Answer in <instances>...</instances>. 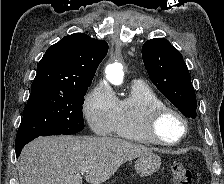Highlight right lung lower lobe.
Wrapping results in <instances>:
<instances>
[{
    "mask_svg": "<svg viewBox=\"0 0 224 184\" xmlns=\"http://www.w3.org/2000/svg\"><path fill=\"white\" fill-rule=\"evenodd\" d=\"M42 136H48V135H42ZM38 137H39V136H38ZM35 138H37V137H34V138H32V139H30V140H28V141H26V142H24V143H22V144H20V145L15 146L16 157H18V156L20 155L22 148H23L28 142H30L31 140H33V139H35Z\"/></svg>",
    "mask_w": 224,
    "mask_h": 184,
    "instance_id": "98d812e1",
    "label": "right lung lower lobe"
}]
</instances>
